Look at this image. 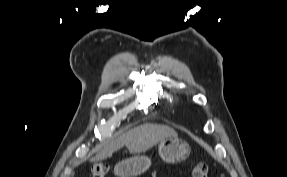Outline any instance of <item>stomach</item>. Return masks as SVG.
<instances>
[{"label": "stomach", "mask_w": 287, "mask_h": 177, "mask_svg": "<svg viewBox=\"0 0 287 177\" xmlns=\"http://www.w3.org/2000/svg\"><path fill=\"white\" fill-rule=\"evenodd\" d=\"M190 146L178 138H169L159 143L158 152L167 163L186 160L190 155ZM151 165L149 157L136 155L115 165L114 173L118 177H136L146 172Z\"/></svg>", "instance_id": "obj_1"}]
</instances>
